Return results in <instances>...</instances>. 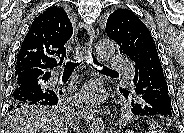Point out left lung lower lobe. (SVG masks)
<instances>
[{"instance_id":"0a47b994","label":"left lung lower lobe","mask_w":184,"mask_h":133,"mask_svg":"<svg viewBox=\"0 0 184 133\" xmlns=\"http://www.w3.org/2000/svg\"><path fill=\"white\" fill-rule=\"evenodd\" d=\"M138 70L139 79L134 88L121 90L126 98L132 97V114L171 117L173 109L158 53L144 58Z\"/></svg>"}]
</instances>
